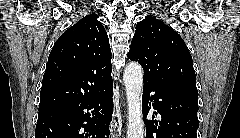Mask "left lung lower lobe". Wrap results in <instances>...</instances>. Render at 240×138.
I'll use <instances>...</instances> for the list:
<instances>
[{
	"mask_svg": "<svg viewBox=\"0 0 240 138\" xmlns=\"http://www.w3.org/2000/svg\"><path fill=\"white\" fill-rule=\"evenodd\" d=\"M150 92L155 94L150 97ZM197 99L198 90L193 86L159 88L144 84L143 115H148L149 100L154 102V109L161 115L159 124L155 121L158 127L153 120L145 121L146 138H197Z\"/></svg>",
	"mask_w": 240,
	"mask_h": 138,
	"instance_id": "left-lung-lower-lobe-1",
	"label": "left lung lower lobe"
}]
</instances>
